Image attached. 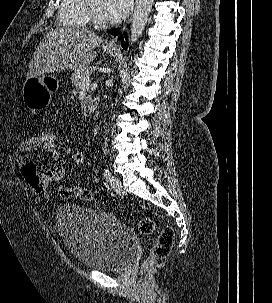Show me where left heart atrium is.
Returning <instances> with one entry per match:
<instances>
[{
  "mask_svg": "<svg viewBox=\"0 0 272 303\" xmlns=\"http://www.w3.org/2000/svg\"><path fill=\"white\" fill-rule=\"evenodd\" d=\"M131 0H104L103 15L107 20L119 21L129 12Z\"/></svg>",
  "mask_w": 272,
  "mask_h": 303,
  "instance_id": "obj_1",
  "label": "left heart atrium"
}]
</instances>
